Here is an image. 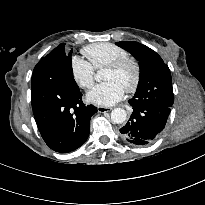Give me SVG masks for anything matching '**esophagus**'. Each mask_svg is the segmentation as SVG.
<instances>
[{
    "mask_svg": "<svg viewBox=\"0 0 205 205\" xmlns=\"http://www.w3.org/2000/svg\"><path fill=\"white\" fill-rule=\"evenodd\" d=\"M98 112L100 113H105V112H110L112 109L109 107H104V106H98L97 107Z\"/></svg>",
    "mask_w": 205,
    "mask_h": 205,
    "instance_id": "34e87169",
    "label": "esophagus"
}]
</instances>
